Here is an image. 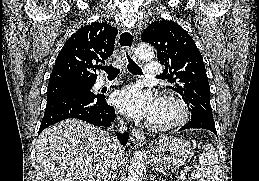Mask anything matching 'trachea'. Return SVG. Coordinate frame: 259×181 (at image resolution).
I'll list each match as a JSON object with an SVG mask.
<instances>
[{"label":"trachea","mask_w":259,"mask_h":181,"mask_svg":"<svg viewBox=\"0 0 259 181\" xmlns=\"http://www.w3.org/2000/svg\"><path fill=\"white\" fill-rule=\"evenodd\" d=\"M128 65L127 68L128 70L135 75H142V70L141 68L129 57L128 54H126ZM101 70L105 71L107 73L108 78H115L118 76L120 69L114 66H104L101 67ZM162 77V76H159Z\"/></svg>","instance_id":"trachea-1"}]
</instances>
